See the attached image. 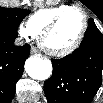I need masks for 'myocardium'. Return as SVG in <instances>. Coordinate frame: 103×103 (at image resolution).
Returning a JSON list of instances; mask_svg holds the SVG:
<instances>
[{
    "mask_svg": "<svg viewBox=\"0 0 103 103\" xmlns=\"http://www.w3.org/2000/svg\"><path fill=\"white\" fill-rule=\"evenodd\" d=\"M74 11L81 12L83 15V19H84L83 29L79 37L76 39V41L72 45H70L69 47L65 49L54 50V49L49 48L45 43L47 36L57 27V25L61 22L62 19H64L67 15H69L70 13ZM88 28H89V17H88L87 12L79 6H71L70 8L62 11L57 16H55L45 26V28L42 30L39 36L40 47L48 54L55 56V57H64V56L70 55L80 47V45L82 44L87 34Z\"/></svg>",
    "mask_w": 103,
    "mask_h": 103,
    "instance_id": "f54148a6",
    "label": "myocardium"
}]
</instances>
